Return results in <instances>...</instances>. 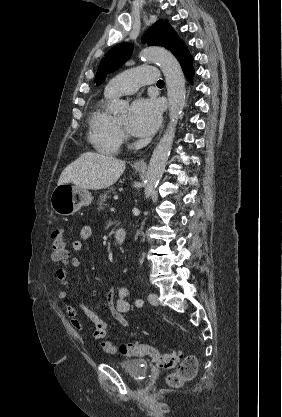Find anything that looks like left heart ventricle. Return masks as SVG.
I'll return each instance as SVG.
<instances>
[{"mask_svg": "<svg viewBox=\"0 0 282 417\" xmlns=\"http://www.w3.org/2000/svg\"><path fill=\"white\" fill-rule=\"evenodd\" d=\"M114 118H115V120L118 124L124 126L125 122H126L127 115H126V113H122L120 115L115 116Z\"/></svg>", "mask_w": 282, "mask_h": 417, "instance_id": "obj_1", "label": "left heart ventricle"}]
</instances>
